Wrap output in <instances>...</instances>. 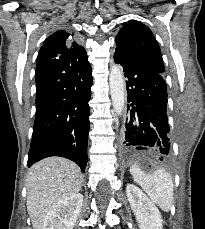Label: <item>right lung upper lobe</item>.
Here are the masks:
<instances>
[{
  "label": "right lung upper lobe",
  "mask_w": 205,
  "mask_h": 229,
  "mask_svg": "<svg viewBox=\"0 0 205 229\" xmlns=\"http://www.w3.org/2000/svg\"><path fill=\"white\" fill-rule=\"evenodd\" d=\"M56 59L62 60L73 70L89 64L85 49L75 41L73 33L63 30H58L45 40L38 53L36 67Z\"/></svg>",
  "instance_id": "1"
}]
</instances>
